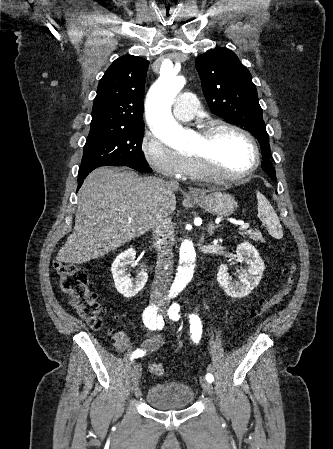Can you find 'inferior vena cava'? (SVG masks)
<instances>
[{
  "instance_id": "602c4592",
  "label": "inferior vena cava",
  "mask_w": 333,
  "mask_h": 449,
  "mask_svg": "<svg viewBox=\"0 0 333 449\" xmlns=\"http://www.w3.org/2000/svg\"><path fill=\"white\" fill-rule=\"evenodd\" d=\"M153 240L157 249V266L151 299L157 300L168 293L172 271L174 229L168 212L157 213L152 222Z\"/></svg>"
}]
</instances>
